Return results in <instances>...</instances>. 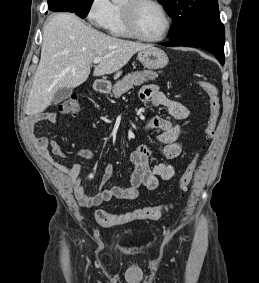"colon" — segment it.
Returning a JSON list of instances; mask_svg holds the SVG:
<instances>
[{
  "mask_svg": "<svg viewBox=\"0 0 259 283\" xmlns=\"http://www.w3.org/2000/svg\"><path fill=\"white\" fill-rule=\"evenodd\" d=\"M198 84L209 97V117L204 130L205 144H207L214 135L220 113L219 90L214 84L205 80H199ZM78 111L79 101L76 95L68 96L61 102L59 106V112L66 116H74L78 113ZM204 148L205 147H203L202 149ZM198 158L199 154L194 155V157L189 161L185 170L183 171L179 179L176 199L184 197L196 169ZM162 211L163 208L161 206L144 207L120 214L108 213L106 211L100 210L97 212L96 217L99 223L104 226H115L136 220L156 219L161 215Z\"/></svg>",
  "mask_w": 259,
  "mask_h": 283,
  "instance_id": "5ec220e1",
  "label": "colon"
}]
</instances>
